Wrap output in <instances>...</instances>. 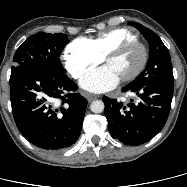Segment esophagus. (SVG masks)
<instances>
[{"label":"esophagus","instance_id":"34e87169","mask_svg":"<svg viewBox=\"0 0 187 187\" xmlns=\"http://www.w3.org/2000/svg\"><path fill=\"white\" fill-rule=\"evenodd\" d=\"M82 95L88 100V102H91V101L99 98V96L93 95V94H90V93H87V92H83Z\"/></svg>","mask_w":187,"mask_h":187}]
</instances>
